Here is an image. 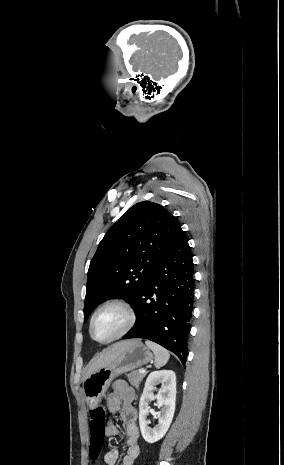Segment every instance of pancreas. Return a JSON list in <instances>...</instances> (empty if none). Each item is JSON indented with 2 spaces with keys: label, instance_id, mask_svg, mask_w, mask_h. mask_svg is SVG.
<instances>
[{
  "label": "pancreas",
  "instance_id": "cf45deb5",
  "mask_svg": "<svg viewBox=\"0 0 284 465\" xmlns=\"http://www.w3.org/2000/svg\"><path fill=\"white\" fill-rule=\"evenodd\" d=\"M145 375L146 373H138V371H132V373H129L127 377L129 379V383H131L133 387H136V389H139L140 381H142Z\"/></svg>",
  "mask_w": 284,
  "mask_h": 465
}]
</instances>
